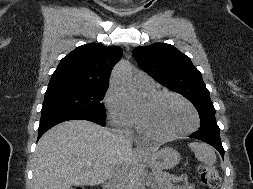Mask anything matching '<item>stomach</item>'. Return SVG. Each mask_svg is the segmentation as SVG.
Masks as SVG:
<instances>
[{"mask_svg":"<svg viewBox=\"0 0 253 189\" xmlns=\"http://www.w3.org/2000/svg\"><path fill=\"white\" fill-rule=\"evenodd\" d=\"M144 161L153 169H170L180 161V155L175 149L166 147L159 151L149 153L144 158Z\"/></svg>","mask_w":253,"mask_h":189,"instance_id":"0dacf381","label":"stomach"}]
</instances>
